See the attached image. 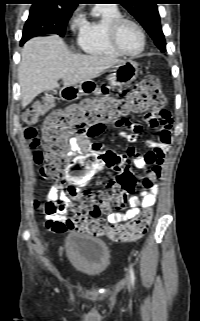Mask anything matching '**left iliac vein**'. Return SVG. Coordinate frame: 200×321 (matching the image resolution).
<instances>
[{
  "mask_svg": "<svg viewBox=\"0 0 200 321\" xmlns=\"http://www.w3.org/2000/svg\"><path fill=\"white\" fill-rule=\"evenodd\" d=\"M128 287H130V282H129V279H128Z\"/></svg>",
  "mask_w": 200,
  "mask_h": 321,
  "instance_id": "obj_1",
  "label": "left iliac vein"
}]
</instances>
